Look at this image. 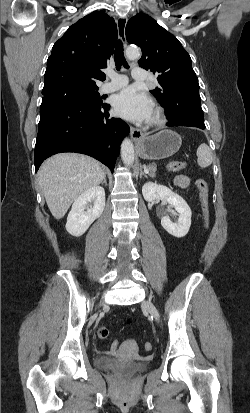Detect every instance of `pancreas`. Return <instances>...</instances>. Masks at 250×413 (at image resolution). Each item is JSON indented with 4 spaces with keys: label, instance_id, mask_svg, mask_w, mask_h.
<instances>
[{
    "label": "pancreas",
    "instance_id": "cf45deb5",
    "mask_svg": "<svg viewBox=\"0 0 250 413\" xmlns=\"http://www.w3.org/2000/svg\"><path fill=\"white\" fill-rule=\"evenodd\" d=\"M169 170H175L174 168L168 167ZM148 170H149V175L151 177H155L156 175V170H157V166L156 164H149L148 165Z\"/></svg>",
    "mask_w": 250,
    "mask_h": 413
}]
</instances>
